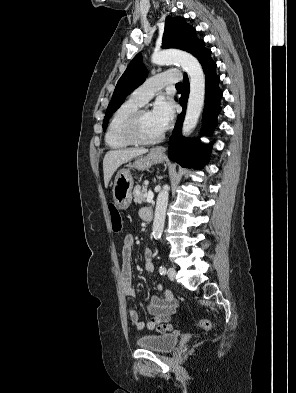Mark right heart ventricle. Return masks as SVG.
Returning <instances> with one entry per match:
<instances>
[{"label":"right heart ventricle","mask_w":296,"mask_h":393,"mask_svg":"<svg viewBox=\"0 0 296 393\" xmlns=\"http://www.w3.org/2000/svg\"><path fill=\"white\" fill-rule=\"evenodd\" d=\"M140 107L139 104L127 100L114 111L105 133V142L111 149H124L132 145L124 138L123 127Z\"/></svg>","instance_id":"e07e8e85"}]
</instances>
